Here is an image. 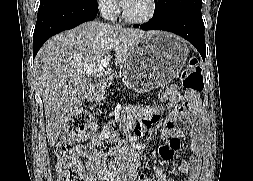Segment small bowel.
Segmentation results:
<instances>
[{
	"mask_svg": "<svg viewBox=\"0 0 253 181\" xmlns=\"http://www.w3.org/2000/svg\"><path fill=\"white\" fill-rule=\"evenodd\" d=\"M161 103L178 104L185 102L186 115H194L199 109V100L197 93L190 91H180L177 87H170L166 92L159 96ZM130 113L138 119L135 127L136 136H144L152 133L153 129L160 127L162 137L167 141V145L160 148L163 160L170 161L173 154L179 148V139L187 132L193 134V140L190 146L192 157L184 158L179 164L178 171L188 174L184 181H198L200 174V134L194 130L190 121L183 120L182 113L173 110L162 117V107L160 105L141 107L133 106L129 109ZM116 139V134L111 126L106 125L101 131L91 136L89 143L78 145L75 148L78 157L85 158L86 175L90 181H153L151 178L141 175L137 176V164L132 156L119 150L114 159L107 163V154L101 150L106 141ZM156 181H175L168 177L164 168L158 166L155 168Z\"/></svg>",
	"mask_w": 253,
	"mask_h": 181,
	"instance_id": "c3829d8e",
	"label": "small bowel"
}]
</instances>
